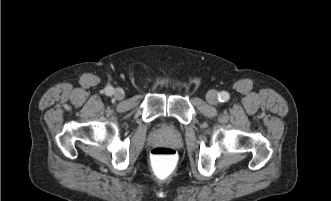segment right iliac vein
<instances>
[{
    "instance_id": "obj_1",
    "label": "right iliac vein",
    "mask_w": 331,
    "mask_h": 201,
    "mask_svg": "<svg viewBox=\"0 0 331 201\" xmlns=\"http://www.w3.org/2000/svg\"><path fill=\"white\" fill-rule=\"evenodd\" d=\"M125 96V93L123 91V89L121 88H117L114 92V97L117 99V100H122Z\"/></svg>"
}]
</instances>
